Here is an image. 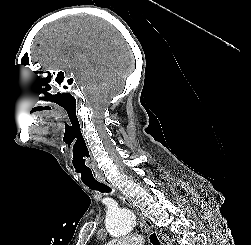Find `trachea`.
Listing matches in <instances>:
<instances>
[{
	"label": "trachea",
	"mask_w": 251,
	"mask_h": 245,
	"mask_svg": "<svg viewBox=\"0 0 251 245\" xmlns=\"http://www.w3.org/2000/svg\"><path fill=\"white\" fill-rule=\"evenodd\" d=\"M90 189L92 190H97L99 192H106V193H109L111 191V189L106 186L105 184H102L100 182H94V183H87L86 184ZM150 242L153 244V245H160V242L157 238V236L155 234H151L150 235Z\"/></svg>",
	"instance_id": "3493384b"
}]
</instances>
